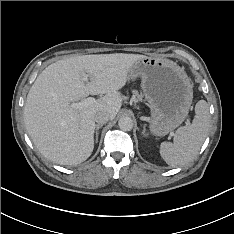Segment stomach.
<instances>
[{
    "mask_svg": "<svg viewBox=\"0 0 234 234\" xmlns=\"http://www.w3.org/2000/svg\"><path fill=\"white\" fill-rule=\"evenodd\" d=\"M137 77L142 79L144 96L151 107L150 131L164 136L181 125L193 99L184 69L169 59L145 57L128 72V80Z\"/></svg>",
    "mask_w": 234,
    "mask_h": 234,
    "instance_id": "1",
    "label": "stomach"
}]
</instances>
